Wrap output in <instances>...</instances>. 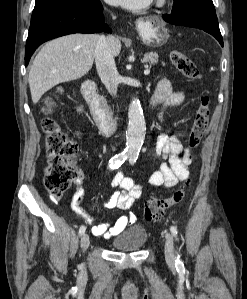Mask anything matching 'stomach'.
I'll list each match as a JSON object with an SVG mask.
<instances>
[{
	"label": "stomach",
	"mask_w": 247,
	"mask_h": 299,
	"mask_svg": "<svg viewBox=\"0 0 247 299\" xmlns=\"http://www.w3.org/2000/svg\"><path fill=\"white\" fill-rule=\"evenodd\" d=\"M137 30L143 43L151 47L162 46L169 39L168 29L160 21H139Z\"/></svg>",
	"instance_id": "stomach-1"
}]
</instances>
